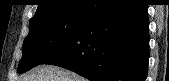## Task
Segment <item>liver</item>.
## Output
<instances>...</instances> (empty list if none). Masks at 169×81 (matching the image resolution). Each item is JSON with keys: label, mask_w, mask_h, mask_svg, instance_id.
I'll return each instance as SVG.
<instances>
[{"label": "liver", "mask_w": 169, "mask_h": 81, "mask_svg": "<svg viewBox=\"0 0 169 81\" xmlns=\"http://www.w3.org/2000/svg\"><path fill=\"white\" fill-rule=\"evenodd\" d=\"M19 81H84V78L53 65H39L23 75Z\"/></svg>", "instance_id": "1"}]
</instances>
